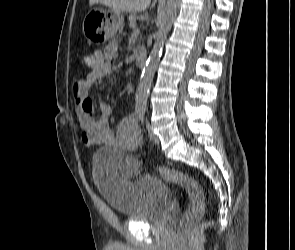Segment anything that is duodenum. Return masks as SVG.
Instances as JSON below:
<instances>
[{"label": "duodenum", "mask_w": 295, "mask_h": 250, "mask_svg": "<svg viewBox=\"0 0 295 250\" xmlns=\"http://www.w3.org/2000/svg\"><path fill=\"white\" fill-rule=\"evenodd\" d=\"M147 59L146 51L143 49H136L135 51V61L139 67H144Z\"/></svg>", "instance_id": "duodenum-1"}]
</instances>
